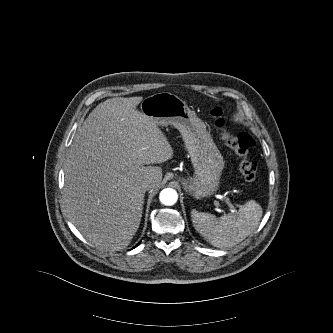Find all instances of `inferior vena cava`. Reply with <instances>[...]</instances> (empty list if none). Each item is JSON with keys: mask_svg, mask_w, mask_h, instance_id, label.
Here are the masks:
<instances>
[{"mask_svg": "<svg viewBox=\"0 0 333 333\" xmlns=\"http://www.w3.org/2000/svg\"><path fill=\"white\" fill-rule=\"evenodd\" d=\"M154 183H155V181L152 178H149L144 182L143 187L146 190H149L153 187Z\"/></svg>", "mask_w": 333, "mask_h": 333, "instance_id": "1", "label": "inferior vena cava"}]
</instances>
